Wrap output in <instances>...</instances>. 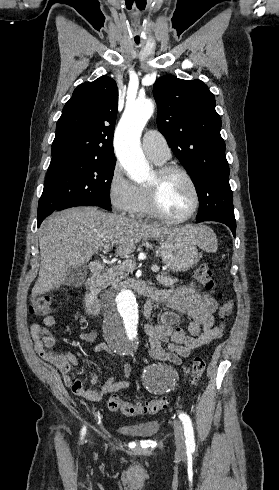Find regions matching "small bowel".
Returning <instances> with one entry per match:
<instances>
[{
	"label": "small bowel",
	"mask_w": 279,
	"mask_h": 490,
	"mask_svg": "<svg viewBox=\"0 0 279 490\" xmlns=\"http://www.w3.org/2000/svg\"><path fill=\"white\" fill-rule=\"evenodd\" d=\"M149 299L145 305L144 316L150 320L153 316L155 304H165L168 307L160 315V322H146L144 331L148 337L149 354L156 361L180 364L181 359L188 357L192 351L220 338L224 333V324L214 325V313L219 310L221 315L230 311V304L218 306L217 301L208 293L197 289L193 285H185L176 289L164 290L160 288L147 289ZM186 315L190 318L187 330L181 326L180 317ZM55 324V318L47 315L41 322L30 326V334L34 347L39 356L57 367L62 374L65 384L73 394L93 402H99L106 394L126 389L132 385L129 377L132 365L125 361L122 369V378H111L99 389L86 387L71 373L72 366H79L77 357L72 352L59 354L54 351L55 338L47 329ZM87 342L97 338V331L90 330L80 335ZM162 342L168 344L164 349ZM95 352L107 350L104 344H97ZM90 384L98 383V375L92 371Z\"/></svg>",
	"instance_id": "c3829d8e"
}]
</instances>
